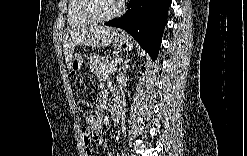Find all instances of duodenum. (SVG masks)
Here are the masks:
<instances>
[{
	"label": "duodenum",
	"mask_w": 247,
	"mask_h": 156,
	"mask_svg": "<svg viewBox=\"0 0 247 156\" xmlns=\"http://www.w3.org/2000/svg\"><path fill=\"white\" fill-rule=\"evenodd\" d=\"M104 94H106V93H104ZM106 97H107V94H106ZM120 116H121V109L119 107H114L112 112H111V118L114 121H117V120H119Z\"/></svg>",
	"instance_id": "obj_1"
}]
</instances>
